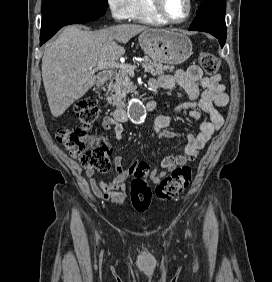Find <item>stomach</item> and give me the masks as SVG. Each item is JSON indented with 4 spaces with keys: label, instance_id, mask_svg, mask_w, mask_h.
Wrapping results in <instances>:
<instances>
[{
    "label": "stomach",
    "instance_id": "stomach-1",
    "mask_svg": "<svg viewBox=\"0 0 272 282\" xmlns=\"http://www.w3.org/2000/svg\"><path fill=\"white\" fill-rule=\"evenodd\" d=\"M142 50L161 64H181L192 54V42L177 30L148 29L139 35Z\"/></svg>",
    "mask_w": 272,
    "mask_h": 282
}]
</instances>
